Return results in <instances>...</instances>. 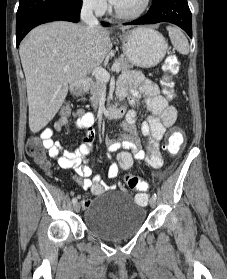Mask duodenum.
I'll return each instance as SVG.
<instances>
[{"mask_svg":"<svg viewBox=\"0 0 227 279\" xmlns=\"http://www.w3.org/2000/svg\"><path fill=\"white\" fill-rule=\"evenodd\" d=\"M90 80L88 77H83L79 81L75 82L71 87V94L75 97L82 96L87 89ZM104 114L109 117H119L121 115V110L115 107H109L104 110Z\"/></svg>","mask_w":227,"mask_h":279,"instance_id":"1","label":"duodenum"}]
</instances>
